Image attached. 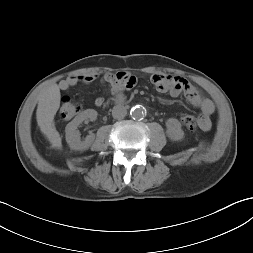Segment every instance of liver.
Returning a JSON list of instances; mask_svg holds the SVG:
<instances>
[{"label":"liver","instance_id":"6515ba94","mask_svg":"<svg viewBox=\"0 0 253 253\" xmlns=\"http://www.w3.org/2000/svg\"><path fill=\"white\" fill-rule=\"evenodd\" d=\"M60 89L57 84H51L41 90L38 95L36 119L41 132L49 140L53 148L61 149L62 141L56 130L54 117L60 107Z\"/></svg>","mask_w":253,"mask_h":253}]
</instances>
